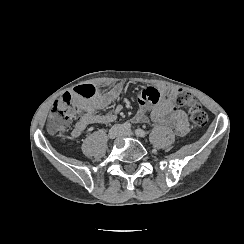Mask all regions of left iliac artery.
Here are the masks:
<instances>
[{
	"label": "left iliac artery",
	"instance_id": "1",
	"mask_svg": "<svg viewBox=\"0 0 244 244\" xmlns=\"http://www.w3.org/2000/svg\"><path fill=\"white\" fill-rule=\"evenodd\" d=\"M135 134L139 137H145L148 134V131L138 128L135 130Z\"/></svg>",
	"mask_w": 244,
	"mask_h": 244
}]
</instances>
